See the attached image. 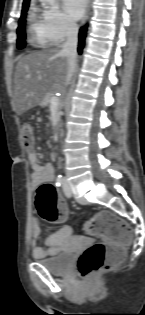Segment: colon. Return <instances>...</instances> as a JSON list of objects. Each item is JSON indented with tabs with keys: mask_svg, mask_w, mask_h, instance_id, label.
I'll list each match as a JSON object with an SVG mask.
<instances>
[{
	"mask_svg": "<svg viewBox=\"0 0 145 315\" xmlns=\"http://www.w3.org/2000/svg\"><path fill=\"white\" fill-rule=\"evenodd\" d=\"M23 144L31 148L34 141L33 127L29 122L22 124ZM36 207L41 218L49 223H57L66 214V206L51 183L41 184L37 189ZM85 230L103 242L87 248L76 265L80 277L87 278L110 270L123 258V247L131 240L129 226L108 211L97 213L85 224Z\"/></svg>",
	"mask_w": 145,
	"mask_h": 315,
	"instance_id": "colon-1",
	"label": "colon"
}]
</instances>
